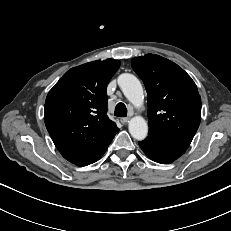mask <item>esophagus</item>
Masks as SVG:
<instances>
[{"label":"esophagus","instance_id":"1","mask_svg":"<svg viewBox=\"0 0 231 231\" xmlns=\"http://www.w3.org/2000/svg\"><path fill=\"white\" fill-rule=\"evenodd\" d=\"M122 124H127L129 122V117H123L120 119Z\"/></svg>","mask_w":231,"mask_h":231}]
</instances>
